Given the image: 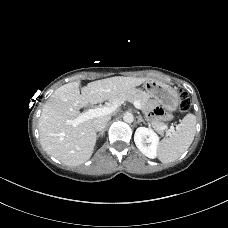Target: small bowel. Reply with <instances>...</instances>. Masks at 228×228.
<instances>
[{"label":"small bowel","mask_w":228,"mask_h":228,"mask_svg":"<svg viewBox=\"0 0 228 228\" xmlns=\"http://www.w3.org/2000/svg\"><path fill=\"white\" fill-rule=\"evenodd\" d=\"M155 114L158 115V116L164 117L163 116V111L161 109H156L155 110Z\"/></svg>","instance_id":"1"}]
</instances>
